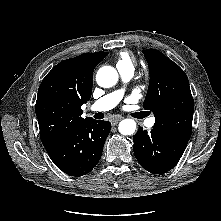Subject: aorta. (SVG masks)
I'll use <instances>...</instances> for the list:
<instances>
[{
	"instance_id": "1",
	"label": "aorta",
	"mask_w": 221,
	"mask_h": 221,
	"mask_svg": "<svg viewBox=\"0 0 221 221\" xmlns=\"http://www.w3.org/2000/svg\"><path fill=\"white\" fill-rule=\"evenodd\" d=\"M118 73L111 66L101 67L96 74V81L99 86L110 88L118 82ZM119 132L123 135H132L136 131V122L133 119H124L119 123Z\"/></svg>"
}]
</instances>
